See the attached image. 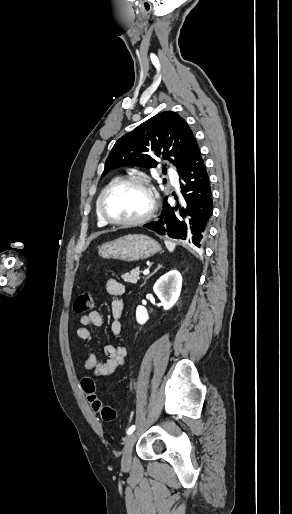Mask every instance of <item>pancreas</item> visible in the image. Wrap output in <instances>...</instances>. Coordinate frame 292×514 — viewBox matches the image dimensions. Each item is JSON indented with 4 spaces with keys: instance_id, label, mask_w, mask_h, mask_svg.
Instances as JSON below:
<instances>
[{
    "instance_id": "1",
    "label": "pancreas",
    "mask_w": 292,
    "mask_h": 514,
    "mask_svg": "<svg viewBox=\"0 0 292 514\" xmlns=\"http://www.w3.org/2000/svg\"><path fill=\"white\" fill-rule=\"evenodd\" d=\"M121 278H123L124 282H131V284H137L138 280H140V270L139 268H135V270H131V272L123 274Z\"/></svg>"
}]
</instances>
